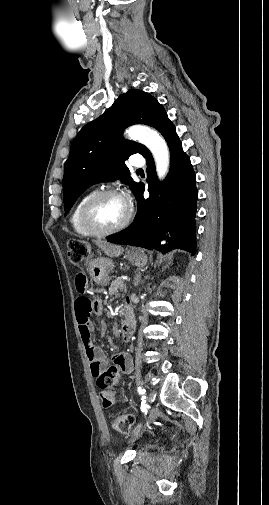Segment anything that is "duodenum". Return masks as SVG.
Here are the masks:
<instances>
[{
  "label": "duodenum",
  "mask_w": 269,
  "mask_h": 505,
  "mask_svg": "<svg viewBox=\"0 0 269 505\" xmlns=\"http://www.w3.org/2000/svg\"><path fill=\"white\" fill-rule=\"evenodd\" d=\"M135 329V317L130 304L127 303L126 311L121 322V337L123 341H129Z\"/></svg>",
  "instance_id": "obj_1"
}]
</instances>
